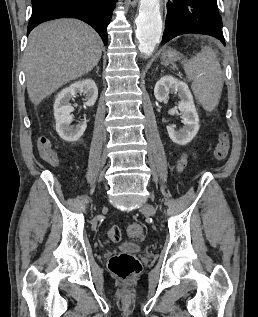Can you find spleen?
Wrapping results in <instances>:
<instances>
[{
    "label": "spleen",
    "instance_id": "obj_1",
    "mask_svg": "<svg viewBox=\"0 0 258 317\" xmlns=\"http://www.w3.org/2000/svg\"><path fill=\"white\" fill-rule=\"evenodd\" d=\"M184 70L192 80V90L204 110H214L223 88L222 70L211 46H203L201 52L186 60Z\"/></svg>",
    "mask_w": 258,
    "mask_h": 317
}]
</instances>
